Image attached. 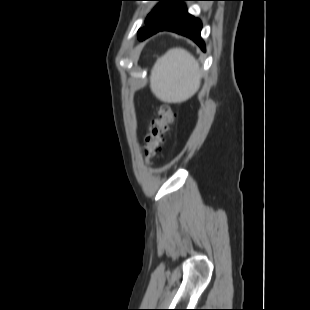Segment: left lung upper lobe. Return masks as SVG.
<instances>
[{"instance_id":"1","label":"left lung upper lobe","mask_w":310,"mask_h":310,"mask_svg":"<svg viewBox=\"0 0 310 310\" xmlns=\"http://www.w3.org/2000/svg\"><path fill=\"white\" fill-rule=\"evenodd\" d=\"M160 3L151 12L145 23L146 27L139 30L138 37L143 40L159 29L169 25L184 9L183 1L189 0H151Z\"/></svg>"}]
</instances>
